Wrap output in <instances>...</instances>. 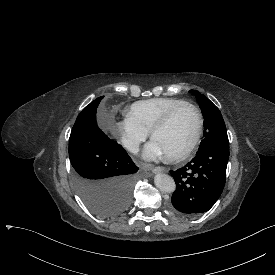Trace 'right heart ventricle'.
<instances>
[{"label":"right heart ventricle","instance_id":"e07e8e85","mask_svg":"<svg viewBox=\"0 0 275 275\" xmlns=\"http://www.w3.org/2000/svg\"><path fill=\"white\" fill-rule=\"evenodd\" d=\"M183 103L186 101L177 98H152L132 104L127 117L149 133L168 111Z\"/></svg>","mask_w":275,"mask_h":275}]
</instances>
